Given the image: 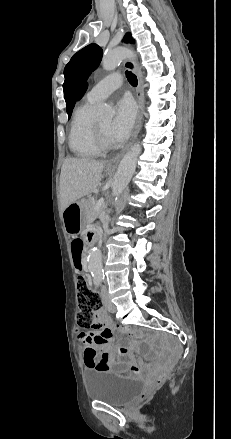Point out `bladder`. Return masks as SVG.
<instances>
[{
    "instance_id": "obj_1",
    "label": "bladder",
    "mask_w": 231,
    "mask_h": 439,
    "mask_svg": "<svg viewBox=\"0 0 231 439\" xmlns=\"http://www.w3.org/2000/svg\"><path fill=\"white\" fill-rule=\"evenodd\" d=\"M88 397L111 405H124L142 390L141 381L117 375L108 369H92L86 374Z\"/></svg>"
}]
</instances>
